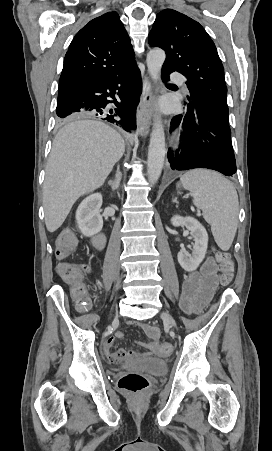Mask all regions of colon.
Wrapping results in <instances>:
<instances>
[{"mask_svg":"<svg viewBox=\"0 0 272 451\" xmlns=\"http://www.w3.org/2000/svg\"><path fill=\"white\" fill-rule=\"evenodd\" d=\"M59 241L57 251L60 256H71L75 253L74 249H78L79 243L77 237L73 232H70V229H64L62 231ZM215 258L219 263L218 269L220 272V282L222 284L231 282L234 273V263L230 255L224 250H219L216 251ZM85 268V264H81L79 267L75 264L70 266L68 262H63L57 273L58 277L62 278L65 282L64 286L67 289H73V301L79 306H82V304L88 305V303H91L92 299L89 288H84L83 286V283H85V274L82 269ZM160 353L170 354L171 346L161 345ZM124 358V354L117 353L111 357V360L114 363H121ZM118 386L120 390L138 394L148 389L150 383L145 374L140 372H129L119 379Z\"/></svg>","mask_w":272,"mask_h":451,"instance_id":"5ec220e1","label":"colon"}]
</instances>
